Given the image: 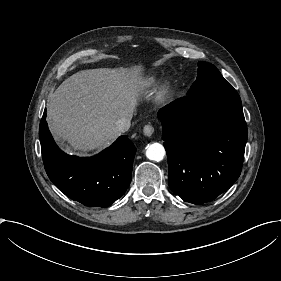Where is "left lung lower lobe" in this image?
<instances>
[{"instance_id":"0a47b994","label":"left lung lower lobe","mask_w":281,"mask_h":281,"mask_svg":"<svg viewBox=\"0 0 281 281\" xmlns=\"http://www.w3.org/2000/svg\"><path fill=\"white\" fill-rule=\"evenodd\" d=\"M168 158V184L184 201L214 200L238 179L247 125L232 88L189 94L158 112Z\"/></svg>"}]
</instances>
